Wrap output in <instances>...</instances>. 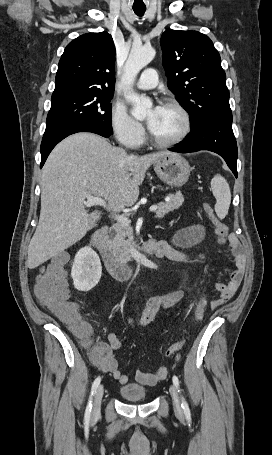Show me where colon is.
<instances>
[{
    "mask_svg": "<svg viewBox=\"0 0 272 455\" xmlns=\"http://www.w3.org/2000/svg\"><path fill=\"white\" fill-rule=\"evenodd\" d=\"M205 210L213 223L219 243L223 245L226 242L228 234L226 224L215 216L211 206L206 204ZM66 261V255L59 254L42 267L40 274L37 277L35 293L41 303L59 319L68 324L76 335L87 339L92 334V328L86 321L81 319L77 305L69 301L70 293L65 271ZM206 304V297H203L195 310L194 316L196 320L202 318ZM184 343L185 339L174 343L168 348L166 355L170 356L178 353L182 349ZM101 355L102 350L98 346L93 351V357L99 358Z\"/></svg>",
    "mask_w": 272,
    "mask_h": 455,
    "instance_id": "colon-1",
    "label": "colon"
}]
</instances>
